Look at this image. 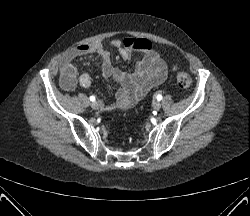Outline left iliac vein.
<instances>
[{
	"mask_svg": "<svg viewBox=\"0 0 250 216\" xmlns=\"http://www.w3.org/2000/svg\"><path fill=\"white\" fill-rule=\"evenodd\" d=\"M152 106L154 110H159L161 108V103L159 101H154Z\"/></svg>",
	"mask_w": 250,
	"mask_h": 216,
	"instance_id": "4c4485c4",
	"label": "left iliac vein"
}]
</instances>
